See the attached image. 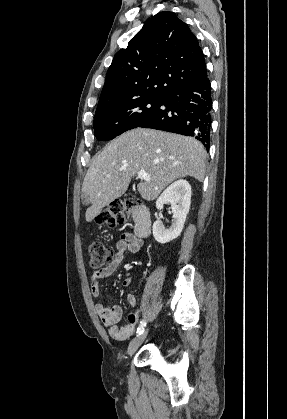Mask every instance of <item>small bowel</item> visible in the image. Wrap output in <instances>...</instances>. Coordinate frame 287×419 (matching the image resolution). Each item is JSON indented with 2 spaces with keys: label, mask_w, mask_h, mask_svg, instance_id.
Here are the masks:
<instances>
[{
  "label": "small bowel",
  "mask_w": 287,
  "mask_h": 419,
  "mask_svg": "<svg viewBox=\"0 0 287 419\" xmlns=\"http://www.w3.org/2000/svg\"><path fill=\"white\" fill-rule=\"evenodd\" d=\"M143 244V240L138 238L133 233L125 232L122 234L120 240L116 244V252L113 259L106 267L94 272L91 276V293L94 297H98L100 295V280L110 276L116 271L124 259L125 252L137 254L141 251ZM131 281L132 279L127 277L122 281V285L129 286ZM136 300L137 298L135 294H129L127 296V301L131 306L136 304ZM95 310L100 320L107 328L109 335L113 339L123 341L128 339L134 333L139 320V310L129 314L128 322L122 328L117 326V323L120 321L122 316V310L118 305H105L98 303L95 305Z\"/></svg>",
  "instance_id": "c3829d8e"
}]
</instances>
